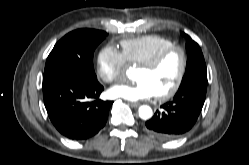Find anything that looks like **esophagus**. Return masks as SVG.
Listing matches in <instances>:
<instances>
[{
    "label": "esophagus",
    "mask_w": 249,
    "mask_h": 165,
    "mask_svg": "<svg viewBox=\"0 0 249 165\" xmlns=\"http://www.w3.org/2000/svg\"><path fill=\"white\" fill-rule=\"evenodd\" d=\"M130 105L132 106V107H134V108H137V107H139L140 106V104L139 103H130Z\"/></svg>",
    "instance_id": "1"
}]
</instances>
